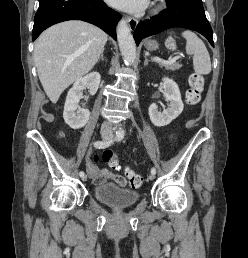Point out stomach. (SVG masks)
<instances>
[{"label": "stomach", "instance_id": "0dacf381", "mask_svg": "<svg viewBox=\"0 0 248 258\" xmlns=\"http://www.w3.org/2000/svg\"><path fill=\"white\" fill-rule=\"evenodd\" d=\"M145 47L150 50V51H153V50H156L158 49V43L154 40H149L145 43Z\"/></svg>", "mask_w": 248, "mask_h": 258}]
</instances>
